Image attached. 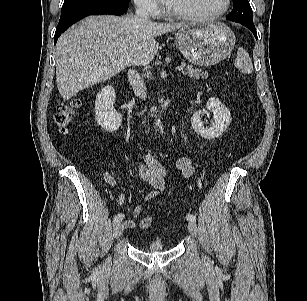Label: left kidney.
<instances>
[{
  "instance_id": "5707ae66",
  "label": "left kidney",
  "mask_w": 307,
  "mask_h": 301,
  "mask_svg": "<svg viewBox=\"0 0 307 301\" xmlns=\"http://www.w3.org/2000/svg\"><path fill=\"white\" fill-rule=\"evenodd\" d=\"M207 110L213 112L215 122L209 128L205 127L201 121V116L205 110H199L191 118L192 128L197 134L205 139H215L228 128L231 122V113L218 98L211 97L207 102Z\"/></svg>"
}]
</instances>
